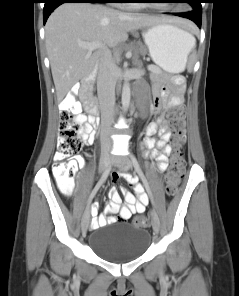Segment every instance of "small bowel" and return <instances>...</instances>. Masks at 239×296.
<instances>
[{"label":"small bowel","mask_w":239,"mask_h":296,"mask_svg":"<svg viewBox=\"0 0 239 296\" xmlns=\"http://www.w3.org/2000/svg\"><path fill=\"white\" fill-rule=\"evenodd\" d=\"M183 87V80L174 79V92L172 94L169 95L165 87L157 89L152 110L155 113L161 112V114L155 121L149 123L144 128L146 154L155 159V167L159 172L166 170L168 155L171 152V147L168 144L171 137V129L163 109L166 105L176 106L181 103ZM75 119L81 124L80 135L83 141L88 145L92 144L95 141L96 132L90 118L87 119L86 115L78 113ZM156 134L159 136L158 139L155 137ZM77 160L80 163L83 162L81 157H78ZM121 177L133 187V192L126 188H121L120 191L115 188L111 189L109 192L111 201L105 206L103 213L98 214L97 204L92 208L94 210L93 216H95L92 221L93 228L103 227L117 221L125 222L134 213H143L145 211L148 205V197L147 193L144 192L143 186L138 183L135 176L123 172L113 173L111 180L116 182ZM122 196L127 205L122 204ZM111 213H118L119 217L109 216Z\"/></svg>","instance_id":"obj_1"}]
</instances>
